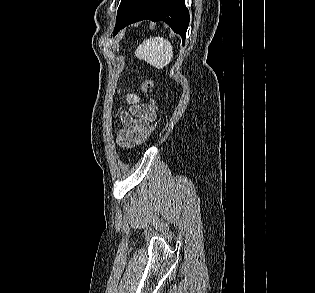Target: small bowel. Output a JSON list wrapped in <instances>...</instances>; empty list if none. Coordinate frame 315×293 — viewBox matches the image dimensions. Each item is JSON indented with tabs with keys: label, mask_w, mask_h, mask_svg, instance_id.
Masks as SVG:
<instances>
[{
	"label": "small bowel",
	"mask_w": 315,
	"mask_h": 293,
	"mask_svg": "<svg viewBox=\"0 0 315 293\" xmlns=\"http://www.w3.org/2000/svg\"><path fill=\"white\" fill-rule=\"evenodd\" d=\"M130 111L121 114L123 129L117 134V144L121 147H133L144 139L150 118L155 115L150 106L141 103L136 97L130 96Z\"/></svg>",
	"instance_id": "obj_1"
}]
</instances>
